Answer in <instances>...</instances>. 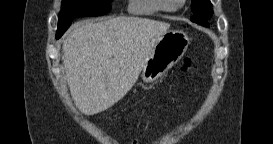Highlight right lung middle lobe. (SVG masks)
Segmentation results:
<instances>
[{"label":"right lung middle lobe","mask_w":273,"mask_h":144,"mask_svg":"<svg viewBox=\"0 0 273 144\" xmlns=\"http://www.w3.org/2000/svg\"><path fill=\"white\" fill-rule=\"evenodd\" d=\"M111 2L112 0H62L56 39L62 36L74 18L108 13Z\"/></svg>","instance_id":"1"}]
</instances>
